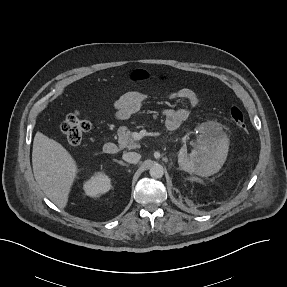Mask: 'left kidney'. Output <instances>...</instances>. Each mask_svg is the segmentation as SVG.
I'll return each instance as SVG.
<instances>
[{
  "label": "left kidney",
  "instance_id": "1",
  "mask_svg": "<svg viewBox=\"0 0 287 287\" xmlns=\"http://www.w3.org/2000/svg\"><path fill=\"white\" fill-rule=\"evenodd\" d=\"M229 141L227 136L216 125H204L198 144L191 154L187 148L182 147L178 154L179 165L187 172L202 177L217 173L223 166Z\"/></svg>",
  "mask_w": 287,
  "mask_h": 287
}]
</instances>
